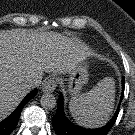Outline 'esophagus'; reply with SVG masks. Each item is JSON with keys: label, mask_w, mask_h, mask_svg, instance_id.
I'll list each match as a JSON object with an SVG mask.
<instances>
[{"label": "esophagus", "mask_w": 135, "mask_h": 135, "mask_svg": "<svg viewBox=\"0 0 135 135\" xmlns=\"http://www.w3.org/2000/svg\"><path fill=\"white\" fill-rule=\"evenodd\" d=\"M56 87H57V83H56L55 79L54 78H50V79L45 81V83L42 86V90L44 92L51 93V92H53L56 89Z\"/></svg>", "instance_id": "1"}]
</instances>
